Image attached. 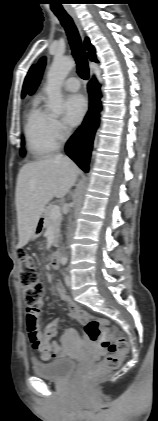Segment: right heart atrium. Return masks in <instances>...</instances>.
Returning <instances> with one entry per match:
<instances>
[{
    "instance_id": "right-heart-atrium-1",
    "label": "right heart atrium",
    "mask_w": 158,
    "mask_h": 421,
    "mask_svg": "<svg viewBox=\"0 0 158 421\" xmlns=\"http://www.w3.org/2000/svg\"><path fill=\"white\" fill-rule=\"evenodd\" d=\"M52 128H53V132L55 134V136L57 137V139L62 138L65 133H66V128L65 126L62 124V122L56 118H53L52 120Z\"/></svg>"
}]
</instances>
